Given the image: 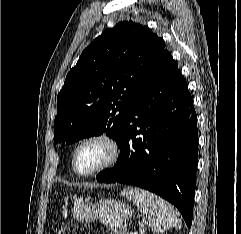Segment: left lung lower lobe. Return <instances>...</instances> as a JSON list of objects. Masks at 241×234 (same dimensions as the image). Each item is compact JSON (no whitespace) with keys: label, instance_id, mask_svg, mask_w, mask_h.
Segmentation results:
<instances>
[{"label":"left lung lower lobe","instance_id":"0a47b994","mask_svg":"<svg viewBox=\"0 0 241 234\" xmlns=\"http://www.w3.org/2000/svg\"><path fill=\"white\" fill-rule=\"evenodd\" d=\"M197 115L185 79L167 49L131 102L120 156L98 182L147 189L193 218L198 163Z\"/></svg>","mask_w":241,"mask_h":234}]
</instances>
